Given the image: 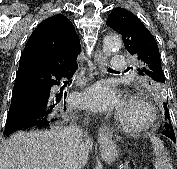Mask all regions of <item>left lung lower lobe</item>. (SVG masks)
Returning <instances> with one entry per match:
<instances>
[{
    "instance_id": "obj_1",
    "label": "left lung lower lobe",
    "mask_w": 177,
    "mask_h": 169,
    "mask_svg": "<svg viewBox=\"0 0 177 169\" xmlns=\"http://www.w3.org/2000/svg\"><path fill=\"white\" fill-rule=\"evenodd\" d=\"M162 134L170 138L173 142H176L175 134H172L171 132H166L164 130L162 131Z\"/></svg>"
}]
</instances>
